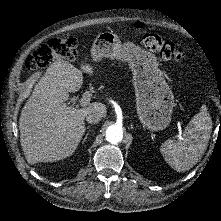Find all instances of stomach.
<instances>
[{
	"label": "stomach",
	"mask_w": 221,
	"mask_h": 221,
	"mask_svg": "<svg viewBox=\"0 0 221 221\" xmlns=\"http://www.w3.org/2000/svg\"><path fill=\"white\" fill-rule=\"evenodd\" d=\"M90 56L93 61L103 57L128 58L133 71L137 110L142 122L153 130L167 126L174 96L157 69L152 55L131 43L122 46L115 33L102 32L94 39Z\"/></svg>",
	"instance_id": "stomach-1"
}]
</instances>
